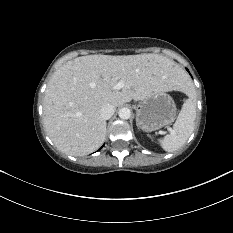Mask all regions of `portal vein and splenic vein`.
<instances>
[{"mask_svg":"<svg viewBox=\"0 0 233 233\" xmlns=\"http://www.w3.org/2000/svg\"><path fill=\"white\" fill-rule=\"evenodd\" d=\"M123 87H124V83L122 81H120L114 86V89L115 90H120Z\"/></svg>","mask_w":233,"mask_h":233,"instance_id":"obj_1","label":"portal vein and splenic vein"}]
</instances>
